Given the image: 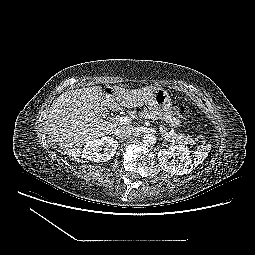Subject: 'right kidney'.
Here are the masks:
<instances>
[{
    "mask_svg": "<svg viewBox=\"0 0 255 255\" xmlns=\"http://www.w3.org/2000/svg\"><path fill=\"white\" fill-rule=\"evenodd\" d=\"M118 148V142L111 137H102L86 143L82 151V158L92 162H105L110 160ZM104 150V153L100 151Z\"/></svg>",
    "mask_w": 255,
    "mask_h": 255,
    "instance_id": "obj_1",
    "label": "right kidney"
}]
</instances>
